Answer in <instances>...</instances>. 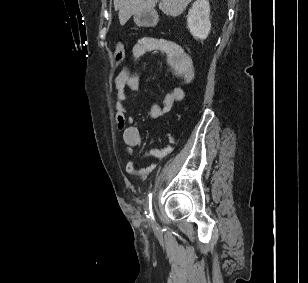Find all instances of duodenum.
Instances as JSON below:
<instances>
[{"label": "duodenum", "mask_w": 308, "mask_h": 283, "mask_svg": "<svg viewBox=\"0 0 308 283\" xmlns=\"http://www.w3.org/2000/svg\"><path fill=\"white\" fill-rule=\"evenodd\" d=\"M144 22L146 25H154L157 22V17L151 13L145 17Z\"/></svg>", "instance_id": "1"}]
</instances>
